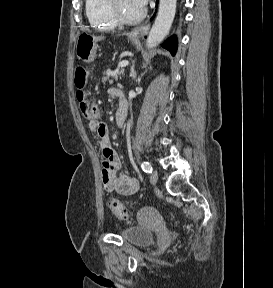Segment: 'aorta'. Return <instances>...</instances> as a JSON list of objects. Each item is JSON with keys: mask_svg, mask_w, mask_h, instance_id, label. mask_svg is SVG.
<instances>
[{"mask_svg": "<svg viewBox=\"0 0 273 288\" xmlns=\"http://www.w3.org/2000/svg\"><path fill=\"white\" fill-rule=\"evenodd\" d=\"M177 0H160L156 20L148 34L146 47H156L169 33L176 12Z\"/></svg>", "mask_w": 273, "mask_h": 288, "instance_id": "1", "label": "aorta"}]
</instances>
